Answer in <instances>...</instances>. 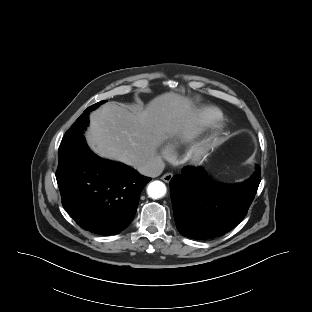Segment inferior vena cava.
<instances>
[{
    "mask_svg": "<svg viewBox=\"0 0 312 312\" xmlns=\"http://www.w3.org/2000/svg\"><path fill=\"white\" fill-rule=\"evenodd\" d=\"M164 167L165 164L160 156L143 160L136 166L139 173L149 177L159 176L164 170Z\"/></svg>",
    "mask_w": 312,
    "mask_h": 312,
    "instance_id": "1",
    "label": "inferior vena cava"
}]
</instances>
